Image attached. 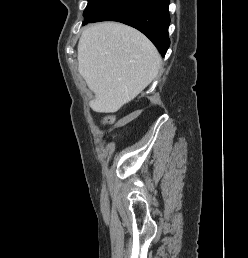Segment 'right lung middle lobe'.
Instances as JSON below:
<instances>
[{
  "label": "right lung middle lobe",
  "instance_id": "right-lung-middle-lobe-1",
  "mask_svg": "<svg viewBox=\"0 0 248 258\" xmlns=\"http://www.w3.org/2000/svg\"><path fill=\"white\" fill-rule=\"evenodd\" d=\"M115 1L116 0H88V5L83 13L84 21L94 19Z\"/></svg>",
  "mask_w": 248,
  "mask_h": 258
}]
</instances>
